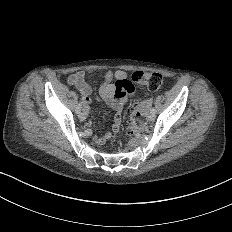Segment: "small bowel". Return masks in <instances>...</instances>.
Here are the masks:
<instances>
[{
    "instance_id": "c3829d8e",
    "label": "small bowel",
    "mask_w": 232,
    "mask_h": 232,
    "mask_svg": "<svg viewBox=\"0 0 232 232\" xmlns=\"http://www.w3.org/2000/svg\"><path fill=\"white\" fill-rule=\"evenodd\" d=\"M97 73L101 80L100 96L115 108L112 131L118 132L121 127V116L127 94L132 91V84L124 69H118L116 71V79L114 81L112 80L111 72L107 69H99ZM86 74V70L77 69L70 73L67 80L68 84L78 86L83 95V105L80 112L81 120H86L89 116L94 92L92 86L84 81ZM110 138L111 134L105 133L103 136L96 138V143L98 145L104 144Z\"/></svg>"
}]
</instances>
